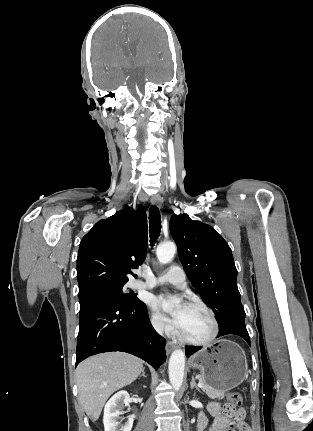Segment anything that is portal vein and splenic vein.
Masks as SVG:
<instances>
[{"mask_svg": "<svg viewBox=\"0 0 313 431\" xmlns=\"http://www.w3.org/2000/svg\"><path fill=\"white\" fill-rule=\"evenodd\" d=\"M198 387L202 388L203 387V383L199 382L198 383Z\"/></svg>", "mask_w": 313, "mask_h": 431, "instance_id": "18ae733b", "label": "portal vein and splenic vein"}]
</instances>
